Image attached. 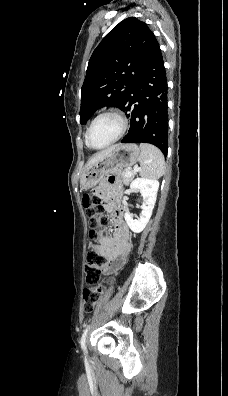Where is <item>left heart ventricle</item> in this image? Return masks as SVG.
<instances>
[{"label":"left heart ventricle","mask_w":228,"mask_h":396,"mask_svg":"<svg viewBox=\"0 0 228 396\" xmlns=\"http://www.w3.org/2000/svg\"><path fill=\"white\" fill-rule=\"evenodd\" d=\"M120 130L119 121L113 116L100 118L90 133V143L94 147H101L113 140Z\"/></svg>","instance_id":"left-heart-ventricle-1"}]
</instances>
